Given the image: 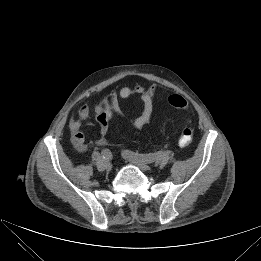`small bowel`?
Segmentation results:
<instances>
[{"instance_id":"1","label":"small bowel","mask_w":261,"mask_h":261,"mask_svg":"<svg viewBox=\"0 0 261 261\" xmlns=\"http://www.w3.org/2000/svg\"><path fill=\"white\" fill-rule=\"evenodd\" d=\"M132 95H137L139 101L143 104V111L138 118L132 121V126L138 130L147 125L152 120L154 114L156 86L144 87L139 84L132 87L123 86L119 90L110 92L92 107L88 104H83L77 115L69 120L68 127L75 148L80 152H84L87 149L81 126L89 119L91 110L95 112L96 121L99 124V136L96 143L102 145L105 143V136L113 117L125 118L120 101L130 98Z\"/></svg>"}]
</instances>
